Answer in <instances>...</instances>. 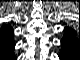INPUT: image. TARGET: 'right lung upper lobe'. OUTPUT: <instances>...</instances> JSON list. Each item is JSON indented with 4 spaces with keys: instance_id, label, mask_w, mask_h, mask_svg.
Here are the masks:
<instances>
[{
    "instance_id": "cb5924a9",
    "label": "right lung upper lobe",
    "mask_w": 80,
    "mask_h": 60,
    "mask_svg": "<svg viewBox=\"0 0 80 60\" xmlns=\"http://www.w3.org/2000/svg\"><path fill=\"white\" fill-rule=\"evenodd\" d=\"M8 29L12 31L11 27H8ZM7 43L9 44V42H7Z\"/></svg>"
}]
</instances>
